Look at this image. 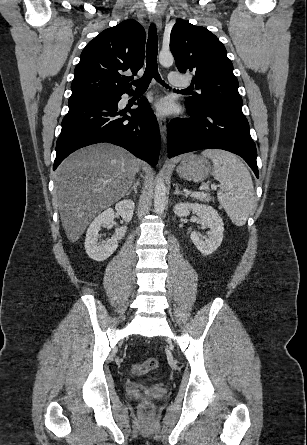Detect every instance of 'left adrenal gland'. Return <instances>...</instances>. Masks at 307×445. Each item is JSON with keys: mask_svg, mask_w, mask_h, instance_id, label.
I'll list each match as a JSON object with an SVG mask.
<instances>
[{"mask_svg": "<svg viewBox=\"0 0 307 445\" xmlns=\"http://www.w3.org/2000/svg\"><path fill=\"white\" fill-rule=\"evenodd\" d=\"M174 194H184V192H182V190H179L178 184H176V186H175ZM184 196H186V194H184Z\"/></svg>", "mask_w": 307, "mask_h": 445, "instance_id": "left-adrenal-gland-1", "label": "left adrenal gland"}]
</instances>
